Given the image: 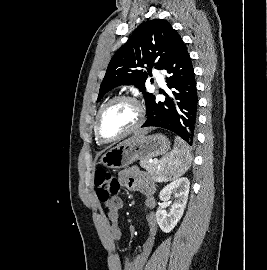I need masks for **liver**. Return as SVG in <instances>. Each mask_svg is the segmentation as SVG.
<instances>
[{"label": "liver", "instance_id": "1", "mask_svg": "<svg viewBox=\"0 0 267 270\" xmlns=\"http://www.w3.org/2000/svg\"><path fill=\"white\" fill-rule=\"evenodd\" d=\"M149 131H151V128H145V129H141L138 132H136L134 134V136H132L131 138L125 140L122 143H130V142H134L137 139L141 138L142 136L146 135Z\"/></svg>", "mask_w": 267, "mask_h": 270}]
</instances>
